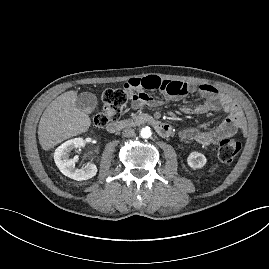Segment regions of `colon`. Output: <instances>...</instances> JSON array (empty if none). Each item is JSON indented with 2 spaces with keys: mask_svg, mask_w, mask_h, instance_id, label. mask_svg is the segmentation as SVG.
I'll use <instances>...</instances> for the list:
<instances>
[{
  "mask_svg": "<svg viewBox=\"0 0 269 269\" xmlns=\"http://www.w3.org/2000/svg\"><path fill=\"white\" fill-rule=\"evenodd\" d=\"M129 92L124 88L106 89L102 94V109L94 117L95 125L105 126L110 121L116 120L125 104L127 103ZM241 150V143L234 138H225L218 145V158L222 163L230 164L234 161Z\"/></svg>",
  "mask_w": 269,
  "mask_h": 269,
  "instance_id": "1",
  "label": "colon"
}]
</instances>
